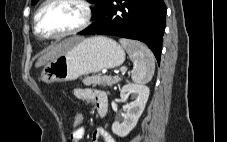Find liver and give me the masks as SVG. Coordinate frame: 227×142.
Wrapping results in <instances>:
<instances>
[{
  "label": "liver",
  "mask_w": 227,
  "mask_h": 142,
  "mask_svg": "<svg viewBox=\"0 0 227 142\" xmlns=\"http://www.w3.org/2000/svg\"><path fill=\"white\" fill-rule=\"evenodd\" d=\"M83 40L82 37H71L67 38L60 43L56 44L54 47H52L50 50H48L44 55H42L36 62L35 67L39 68L43 65H46L53 59L57 58L58 56L65 53L67 50H69L74 44L77 42Z\"/></svg>",
  "instance_id": "liver-1"
}]
</instances>
